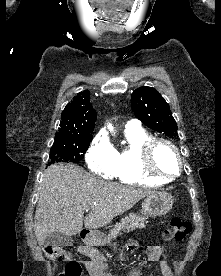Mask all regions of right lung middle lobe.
<instances>
[{
  "mask_svg": "<svg viewBox=\"0 0 221 276\" xmlns=\"http://www.w3.org/2000/svg\"><path fill=\"white\" fill-rule=\"evenodd\" d=\"M92 138H77L54 141L50 151L51 163L73 162L78 163L86 153Z\"/></svg>",
  "mask_w": 221,
  "mask_h": 276,
  "instance_id": "1",
  "label": "right lung middle lobe"
}]
</instances>
